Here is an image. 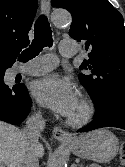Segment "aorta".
Returning <instances> with one entry per match:
<instances>
[{"instance_id":"1","label":"aorta","mask_w":125,"mask_h":167,"mask_svg":"<svg viewBox=\"0 0 125 167\" xmlns=\"http://www.w3.org/2000/svg\"><path fill=\"white\" fill-rule=\"evenodd\" d=\"M52 21L59 28L66 27L71 22V16L65 11H55L52 14ZM68 154L65 150L60 149L56 152L54 159L51 162V167H66Z\"/></svg>"}]
</instances>
